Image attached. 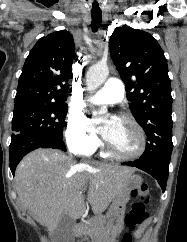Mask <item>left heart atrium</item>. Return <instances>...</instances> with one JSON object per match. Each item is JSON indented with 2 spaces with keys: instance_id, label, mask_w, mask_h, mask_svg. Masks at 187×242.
<instances>
[{
  "instance_id": "1",
  "label": "left heart atrium",
  "mask_w": 187,
  "mask_h": 242,
  "mask_svg": "<svg viewBox=\"0 0 187 242\" xmlns=\"http://www.w3.org/2000/svg\"><path fill=\"white\" fill-rule=\"evenodd\" d=\"M102 136L107 140L110 135V128L108 126H105L100 130Z\"/></svg>"
}]
</instances>
